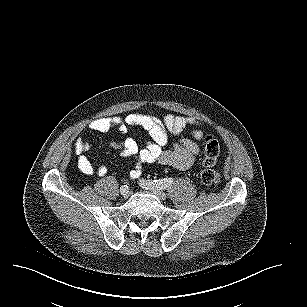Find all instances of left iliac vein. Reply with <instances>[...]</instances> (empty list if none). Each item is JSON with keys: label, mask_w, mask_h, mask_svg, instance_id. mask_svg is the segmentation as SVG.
<instances>
[{"label": "left iliac vein", "mask_w": 307, "mask_h": 307, "mask_svg": "<svg viewBox=\"0 0 307 307\" xmlns=\"http://www.w3.org/2000/svg\"><path fill=\"white\" fill-rule=\"evenodd\" d=\"M146 189H150L152 192H154L161 200H165L167 198V194L161 191L159 188L155 186H149Z\"/></svg>", "instance_id": "obj_1"}]
</instances>
